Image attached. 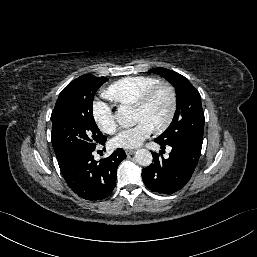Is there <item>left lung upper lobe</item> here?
Instances as JSON below:
<instances>
[{"label": "left lung upper lobe", "instance_id": "obj_1", "mask_svg": "<svg viewBox=\"0 0 257 257\" xmlns=\"http://www.w3.org/2000/svg\"><path fill=\"white\" fill-rule=\"evenodd\" d=\"M150 72L159 74L176 89L177 109L166 131L156 140L163 144L174 141L202 144L204 131V112L201 96L187 78L165 68H154Z\"/></svg>", "mask_w": 257, "mask_h": 257}]
</instances>
